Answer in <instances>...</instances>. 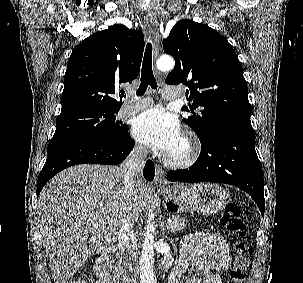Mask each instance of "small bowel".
I'll return each instance as SVG.
<instances>
[{
  "mask_svg": "<svg viewBox=\"0 0 303 283\" xmlns=\"http://www.w3.org/2000/svg\"><path fill=\"white\" fill-rule=\"evenodd\" d=\"M229 247L220 235L215 233H193L181 240L178 262L170 274L172 283H179L188 266L201 272V278H189L185 283H222V272L228 269ZM96 283H112L109 272L97 265Z\"/></svg>",
  "mask_w": 303,
  "mask_h": 283,
  "instance_id": "obj_1",
  "label": "small bowel"
}]
</instances>
